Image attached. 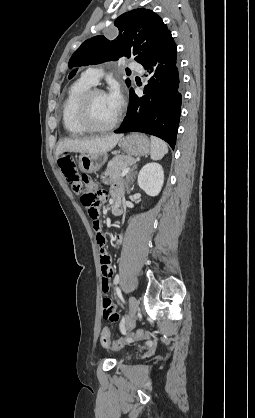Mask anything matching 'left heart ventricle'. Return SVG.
I'll return each instance as SVG.
<instances>
[{
  "mask_svg": "<svg viewBox=\"0 0 255 418\" xmlns=\"http://www.w3.org/2000/svg\"><path fill=\"white\" fill-rule=\"evenodd\" d=\"M117 111L111 106L106 94H97L91 101V117L93 122L99 126L111 123Z\"/></svg>",
  "mask_w": 255,
  "mask_h": 418,
  "instance_id": "obj_1",
  "label": "left heart ventricle"
}]
</instances>
